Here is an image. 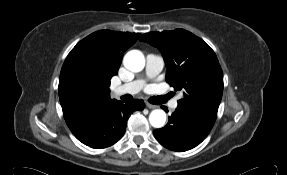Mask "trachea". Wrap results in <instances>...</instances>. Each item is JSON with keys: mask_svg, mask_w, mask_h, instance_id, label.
Masks as SVG:
<instances>
[{"mask_svg": "<svg viewBox=\"0 0 287 175\" xmlns=\"http://www.w3.org/2000/svg\"><path fill=\"white\" fill-rule=\"evenodd\" d=\"M149 101L153 104H160L162 102V99L160 97H152L149 99Z\"/></svg>", "mask_w": 287, "mask_h": 175, "instance_id": "1", "label": "trachea"}]
</instances>
